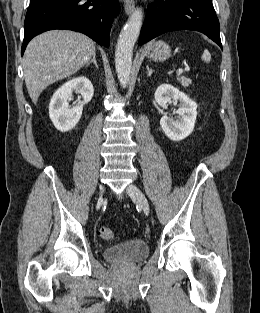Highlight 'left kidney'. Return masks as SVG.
I'll list each match as a JSON object with an SVG mask.
<instances>
[{
  "mask_svg": "<svg viewBox=\"0 0 260 313\" xmlns=\"http://www.w3.org/2000/svg\"><path fill=\"white\" fill-rule=\"evenodd\" d=\"M154 97L158 105L163 108H167V104L172 100L180 102L175 119L164 115L160 120L161 128L166 136L173 141H181L189 136L194 130L197 104L183 92L168 84L160 85Z\"/></svg>",
  "mask_w": 260,
  "mask_h": 313,
  "instance_id": "5707ae66",
  "label": "left kidney"
}]
</instances>
